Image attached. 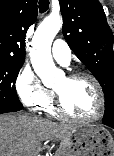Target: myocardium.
I'll list each match as a JSON object with an SVG mask.
<instances>
[{"label":"myocardium","mask_w":114,"mask_h":156,"mask_svg":"<svg viewBox=\"0 0 114 156\" xmlns=\"http://www.w3.org/2000/svg\"><path fill=\"white\" fill-rule=\"evenodd\" d=\"M66 78L69 80H75L78 78L89 79L93 83V85L96 89V92H97L98 109H97V112L93 116H90V117L83 118V117L74 116V115L70 114L65 109L60 93L55 90V97H56L55 110H56V112L63 118L68 119L70 121H75V122L88 123V122H94V121L98 120L102 116L104 109H105V96H104L103 88H102L99 80L91 73L85 72V71L73 72V73L69 74L68 76H66Z\"/></svg>","instance_id":"f54148a6"}]
</instances>
